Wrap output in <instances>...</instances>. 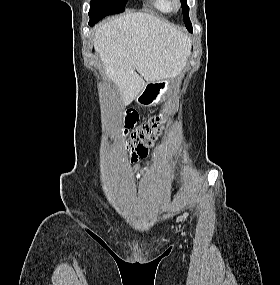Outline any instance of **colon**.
I'll use <instances>...</instances> for the list:
<instances>
[{"mask_svg": "<svg viewBox=\"0 0 280 285\" xmlns=\"http://www.w3.org/2000/svg\"><path fill=\"white\" fill-rule=\"evenodd\" d=\"M137 120L138 115L135 111L128 112L127 127L131 129L129 134L133 158L145 156L147 147L152 146L168 126L166 117L162 115L155 116L142 125L135 127Z\"/></svg>", "mask_w": 280, "mask_h": 285, "instance_id": "5ec220e1", "label": "colon"}]
</instances>
